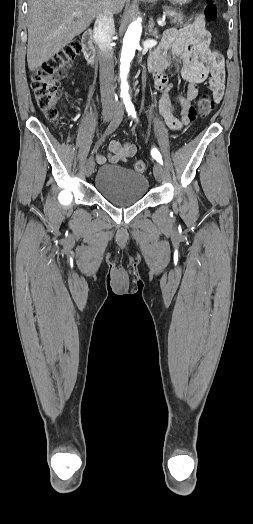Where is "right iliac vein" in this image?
Returning a JSON list of instances; mask_svg holds the SVG:
<instances>
[{
  "mask_svg": "<svg viewBox=\"0 0 253 524\" xmlns=\"http://www.w3.org/2000/svg\"><path fill=\"white\" fill-rule=\"evenodd\" d=\"M115 109L113 108H107L103 111V120L105 122H109L112 117L114 116L115 114ZM94 167H95V162H94V159L93 158H90L87 163H86V166H85V174L87 177L91 176L93 171H94Z\"/></svg>",
  "mask_w": 253,
  "mask_h": 524,
  "instance_id": "1",
  "label": "right iliac vein"
}]
</instances>
